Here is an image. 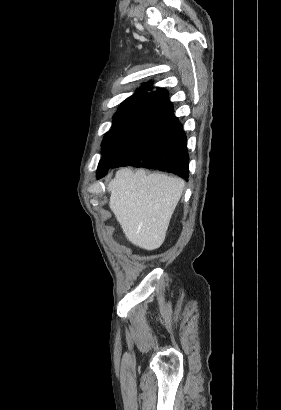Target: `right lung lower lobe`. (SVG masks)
I'll list each match as a JSON object with an SVG mask.
<instances>
[{
    "label": "right lung lower lobe",
    "instance_id": "1",
    "mask_svg": "<svg viewBox=\"0 0 281 410\" xmlns=\"http://www.w3.org/2000/svg\"><path fill=\"white\" fill-rule=\"evenodd\" d=\"M189 156L182 124L172 110L137 141L113 166L152 168L187 179ZM107 171L97 175L103 177Z\"/></svg>",
    "mask_w": 281,
    "mask_h": 410
}]
</instances>
